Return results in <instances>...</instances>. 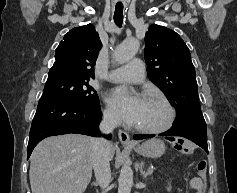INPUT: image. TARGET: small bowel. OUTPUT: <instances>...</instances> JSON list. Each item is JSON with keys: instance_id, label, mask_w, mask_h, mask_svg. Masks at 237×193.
<instances>
[{"instance_id": "obj_1", "label": "small bowel", "mask_w": 237, "mask_h": 193, "mask_svg": "<svg viewBox=\"0 0 237 193\" xmlns=\"http://www.w3.org/2000/svg\"><path fill=\"white\" fill-rule=\"evenodd\" d=\"M189 187L195 191V193H203V182L199 177H192L189 180Z\"/></svg>"}]
</instances>
